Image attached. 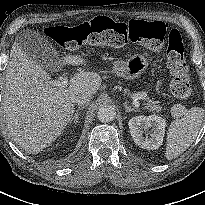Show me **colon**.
I'll list each match as a JSON object with an SVG mask.
<instances>
[{
	"instance_id": "obj_1",
	"label": "colon",
	"mask_w": 205,
	"mask_h": 205,
	"mask_svg": "<svg viewBox=\"0 0 205 205\" xmlns=\"http://www.w3.org/2000/svg\"><path fill=\"white\" fill-rule=\"evenodd\" d=\"M46 33L54 42L68 50H77L87 43L115 48L137 43L151 50H159L167 38V64L172 74L171 93L181 100L191 96L181 34L177 29H171L167 33L166 26L161 21L131 19L124 23L106 16H97L75 27L54 25Z\"/></svg>"
}]
</instances>
